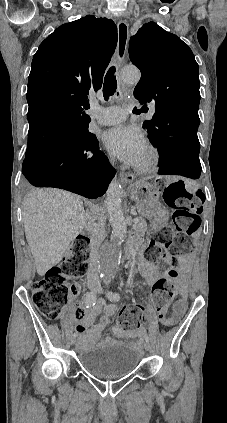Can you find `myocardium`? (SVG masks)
<instances>
[{
  "mask_svg": "<svg viewBox=\"0 0 227 423\" xmlns=\"http://www.w3.org/2000/svg\"><path fill=\"white\" fill-rule=\"evenodd\" d=\"M147 149L150 153L148 161L136 166V170L141 173H152L157 171L162 161V153L157 146L154 144H148Z\"/></svg>",
  "mask_w": 227,
  "mask_h": 423,
  "instance_id": "f54148a6",
  "label": "myocardium"
}]
</instances>
